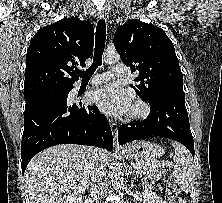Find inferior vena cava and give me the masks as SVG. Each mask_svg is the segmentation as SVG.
I'll use <instances>...</instances> for the list:
<instances>
[{"instance_id": "obj_1", "label": "inferior vena cava", "mask_w": 222, "mask_h": 203, "mask_svg": "<svg viewBox=\"0 0 222 203\" xmlns=\"http://www.w3.org/2000/svg\"><path fill=\"white\" fill-rule=\"evenodd\" d=\"M92 162L90 164L91 171V190L95 191L98 186L101 184L102 178L106 174L105 164H103L97 154V149H92Z\"/></svg>"}]
</instances>
